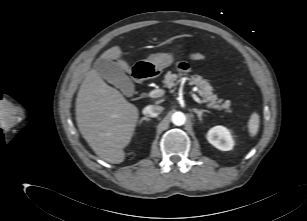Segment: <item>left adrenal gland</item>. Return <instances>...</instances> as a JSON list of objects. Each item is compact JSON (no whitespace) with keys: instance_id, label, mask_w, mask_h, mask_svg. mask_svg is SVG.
<instances>
[{"instance_id":"obj_1","label":"left adrenal gland","mask_w":307,"mask_h":221,"mask_svg":"<svg viewBox=\"0 0 307 221\" xmlns=\"http://www.w3.org/2000/svg\"><path fill=\"white\" fill-rule=\"evenodd\" d=\"M193 112H195V113L197 114L198 119H199L200 121H202L203 113H210V111H208V110H198V109H196V108H193Z\"/></svg>"}]
</instances>
